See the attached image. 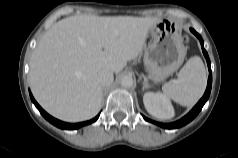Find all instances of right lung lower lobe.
<instances>
[{
    "label": "right lung lower lobe",
    "mask_w": 238,
    "mask_h": 158,
    "mask_svg": "<svg viewBox=\"0 0 238 158\" xmlns=\"http://www.w3.org/2000/svg\"><path fill=\"white\" fill-rule=\"evenodd\" d=\"M30 93V98L32 100V102L35 104V106L38 108V110L40 111V113L50 122L52 123L53 125L61 128V129H69V130H72V129H77V128H80L84 125H88L94 121H96L99 117L96 116L95 118H93L92 120H89V121H85V122H81V123H75V124H71V123H65V122H62V121H59L55 118H53L52 116H50L49 114H47L39 105L38 103L35 101V99L33 98L31 92Z\"/></svg>",
    "instance_id": "right-lung-lower-lobe-1"
}]
</instances>
